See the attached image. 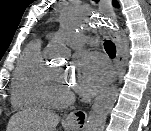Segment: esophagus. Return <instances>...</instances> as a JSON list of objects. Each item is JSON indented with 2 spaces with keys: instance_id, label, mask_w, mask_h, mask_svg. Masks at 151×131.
<instances>
[{
  "instance_id": "obj_1",
  "label": "esophagus",
  "mask_w": 151,
  "mask_h": 131,
  "mask_svg": "<svg viewBox=\"0 0 151 131\" xmlns=\"http://www.w3.org/2000/svg\"><path fill=\"white\" fill-rule=\"evenodd\" d=\"M100 8L103 15L106 18L115 19V13L111 6V0H100ZM107 33L115 43L116 50H117V55L115 60V72L113 77V81H115L118 78L124 66L125 53H124V47L121 37L110 28L107 29ZM86 119H87V114L82 110H75L70 114H68L66 117V121L79 130L84 129L86 124Z\"/></svg>"
}]
</instances>
